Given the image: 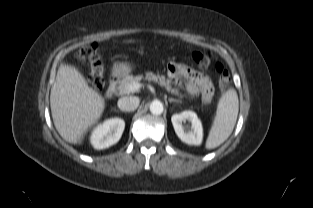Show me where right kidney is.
Returning a JSON list of instances; mask_svg holds the SVG:
<instances>
[{"instance_id": "right-kidney-1", "label": "right kidney", "mask_w": 313, "mask_h": 208, "mask_svg": "<svg viewBox=\"0 0 313 208\" xmlns=\"http://www.w3.org/2000/svg\"><path fill=\"white\" fill-rule=\"evenodd\" d=\"M125 122L121 118H112L99 124L92 132L91 144L97 150L116 144L124 131Z\"/></svg>"}]
</instances>
